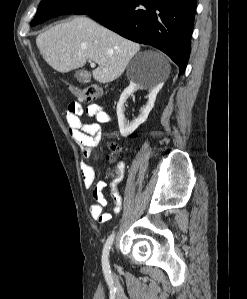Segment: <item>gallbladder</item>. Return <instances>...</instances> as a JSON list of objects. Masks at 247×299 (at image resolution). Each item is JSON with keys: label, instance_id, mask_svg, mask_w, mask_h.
Wrapping results in <instances>:
<instances>
[{"label": "gallbladder", "instance_id": "obj_1", "mask_svg": "<svg viewBox=\"0 0 247 299\" xmlns=\"http://www.w3.org/2000/svg\"><path fill=\"white\" fill-rule=\"evenodd\" d=\"M75 78H76L78 81H80V82H87V81L90 80V76H89V74H88L86 71H84V70H82V71H77V72L75 73Z\"/></svg>", "mask_w": 247, "mask_h": 299}]
</instances>
